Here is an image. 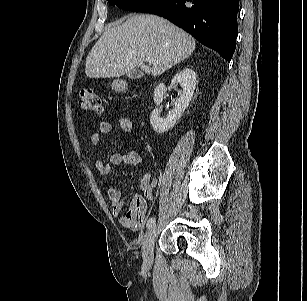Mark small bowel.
<instances>
[{
	"instance_id": "obj_1",
	"label": "small bowel",
	"mask_w": 307,
	"mask_h": 301,
	"mask_svg": "<svg viewBox=\"0 0 307 301\" xmlns=\"http://www.w3.org/2000/svg\"><path fill=\"white\" fill-rule=\"evenodd\" d=\"M118 126L123 132H131L133 130V120L130 116L124 115L118 119ZM112 130V125L109 122L101 121L97 125V131L90 135V143L94 148H99L101 145V135L109 134ZM95 167L97 171L108 176L114 166L126 164L136 166L143 162L141 153L136 149H130L123 152L112 154L107 162L101 161L95 154ZM156 185V179L152 177L149 169L143 174L139 181L140 193L133 196L128 210L124 213V201L122 198L121 189L117 186H112L107 190V196L111 203L112 213L118 219L119 223L133 232H138L142 229L146 222L147 203L154 199L153 189Z\"/></svg>"
}]
</instances>
